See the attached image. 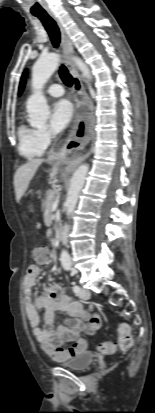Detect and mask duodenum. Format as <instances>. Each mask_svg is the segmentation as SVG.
Instances as JSON below:
<instances>
[{"label":"duodenum","mask_w":155,"mask_h":413,"mask_svg":"<svg viewBox=\"0 0 155 413\" xmlns=\"http://www.w3.org/2000/svg\"><path fill=\"white\" fill-rule=\"evenodd\" d=\"M61 240V235H60V231L58 230L57 233L55 234V238L54 241L59 244Z\"/></svg>","instance_id":"1"}]
</instances>
